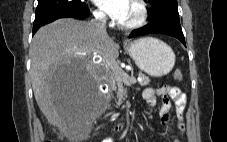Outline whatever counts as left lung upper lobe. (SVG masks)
<instances>
[{"mask_svg": "<svg viewBox=\"0 0 227 142\" xmlns=\"http://www.w3.org/2000/svg\"><path fill=\"white\" fill-rule=\"evenodd\" d=\"M151 5L148 16L151 21L168 19L179 22L177 0H147Z\"/></svg>", "mask_w": 227, "mask_h": 142, "instance_id": "left-lung-upper-lobe-1", "label": "left lung upper lobe"}]
</instances>
